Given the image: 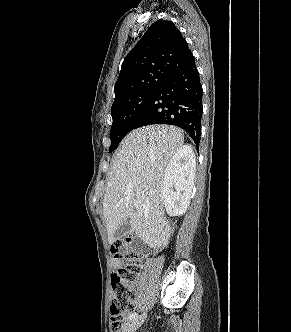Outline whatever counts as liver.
I'll return each mask as SVG.
<instances>
[{
	"mask_svg": "<svg viewBox=\"0 0 291 332\" xmlns=\"http://www.w3.org/2000/svg\"><path fill=\"white\" fill-rule=\"evenodd\" d=\"M184 143L175 126L150 125L130 132L112 161L103 200L108 241L122 223L129 224L145 244L167 247L173 229L164 213L163 179L167 166Z\"/></svg>",
	"mask_w": 291,
	"mask_h": 332,
	"instance_id": "obj_1",
	"label": "liver"
}]
</instances>
